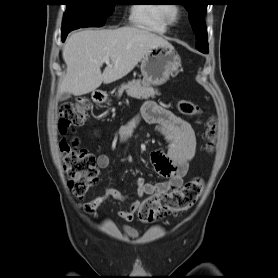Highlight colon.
<instances>
[{
	"instance_id": "colon-1",
	"label": "colon",
	"mask_w": 278,
	"mask_h": 278,
	"mask_svg": "<svg viewBox=\"0 0 278 278\" xmlns=\"http://www.w3.org/2000/svg\"><path fill=\"white\" fill-rule=\"evenodd\" d=\"M88 110L89 104L85 99L62 104L57 113L61 134H66L73 128L83 125L87 119ZM178 110L185 116H196L201 111L199 106L190 100H180ZM217 134V120L211 118L206 130L207 150L213 151ZM60 151L70 191L78 198L85 197L89 189L98 181L95 156L81 148L76 138L63 139L60 142ZM203 185L202 179L195 178L179 190L151 195L139 207L140 221L152 223L163 215L190 209L201 196Z\"/></svg>"
}]
</instances>
